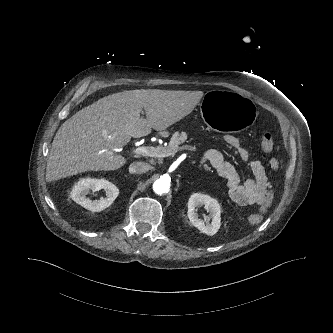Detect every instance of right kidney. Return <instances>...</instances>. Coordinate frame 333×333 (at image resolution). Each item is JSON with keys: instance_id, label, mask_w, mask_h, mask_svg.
I'll use <instances>...</instances> for the list:
<instances>
[{"instance_id": "right-kidney-1", "label": "right kidney", "mask_w": 333, "mask_h": 333, "mask_svg": "<svg viewBox=\"0 0 333 333\" xmlns=\"http://www.w3.org/2000/svg\"><path fill=\"white\" fill-rule=\"evenodd\" d=\"M104 189L106 197L100 200H90L86 198V193L89 190L99 191ZM119 194V189L111 182L105 179L86 178L78 181L72 191L71 198L84 208L98 212L109 207Z\"/></svg>"}]
</instances>
